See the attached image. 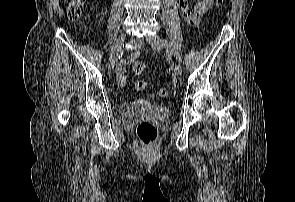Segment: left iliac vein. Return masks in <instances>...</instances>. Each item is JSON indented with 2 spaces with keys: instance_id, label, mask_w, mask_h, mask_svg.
Returning <instances> with one entry per match:
<instances>
[{
  "instance_id": "obj_1",
  "label": "left iliac vein",
  "mask_w": 295,
  "mask_h": 202,
  "mask_svg": "<svg viewBox=\"0 0 295 202\" xmlns=\"http://www.w3.org/2000/svg\"><path fill=\"white\" fill-rule=\"evenodd\" d=\"M147 42L151 44L154 48H159V47H166L164 41L162 38H160L157 35H152L146 38ZM174 71L175 73L180 76L182 75V68L178 63H175L174 65Z\"/></svg>"
}]
</instances>
